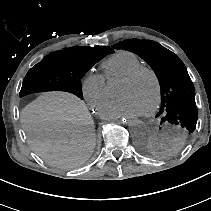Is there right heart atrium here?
Segmentation results:
<instances>
[{
	"label": "right heart atrium",
	"instance_id": "1",
	"mask_svg": "<svg viewBox=\"0 0 211 211\" xmlns=\"http://www.w3.org/2000/svg\"><path fill=\"white\" fill-rule=\"evenodd\" d=\"M81 91L85 100L93 109L104 107L109 98L106 80L99 73L87 74L81 81Z\"/></svg>",
	"mask_w": 211,
	"mask_h": 211
}]
</instances>
